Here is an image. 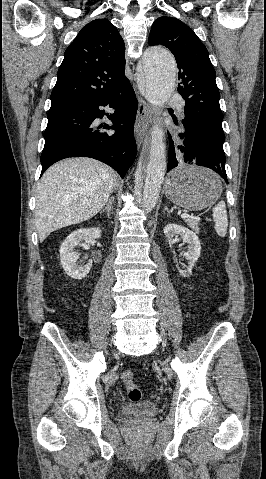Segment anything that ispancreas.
Listing matches in <instances>:
<instances>
[{"mask_svg": "<svg viewBox=\"0 0 266 479\" xmlns=\"http://www.w3.org/2000/svg\"><path fill=\"white\" fill-rule=\"evenodd\" d=\"M185 222L193 231L199 232V222L195 218H187Z\"/></svg>", "mask_w": 266, "mask_h": 479, "instance_id": "cf45deb5", "label": "pancreas"}]
</instances>
